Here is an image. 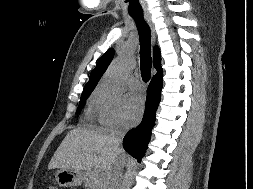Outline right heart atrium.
<instances>
[{
    "instance_id": "1",
    "label": "right heart atrium",
    "mask_w": 253,
    "mask_h": 189,
    "mask_svg": "<svg viewBox=\"0 0 253 189\" xmlns=\"http://www.w3.org/2000/svg\"><path fill=\"white\" fill-rule=\"evenodd\" d=\"M95 110L102 128L106 130L124 128V107L119 99L110 96L103 90H98L95 93Z\"/></svg>"
}]
</instances>
